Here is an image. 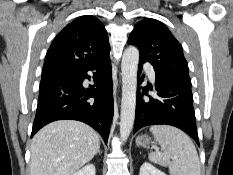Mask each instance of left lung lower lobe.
<instances>
[{
	"mask_svg": "<svg viewBox=\"0 0 233 175\" xmlns=\"http://www.w3.org/2000/svg\"><path fill=\"white\" fill-rule=\"evenodd\" d=\"M139 60L138 83L143 63ZM136 98V114L133 133L148 125L166 124L175 126L190 135L199 145L191 82L166 77L156 72L155 90L159 99L148 95L152 87H143Z\"/></svg>",
	"mask_w": 233,
	"mask_h": 175,
	"instance_id": "0a47b994",
	"label": "left lung lower lobe"
}]
</instances>
